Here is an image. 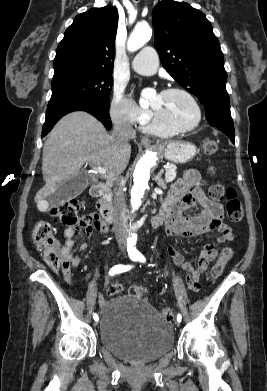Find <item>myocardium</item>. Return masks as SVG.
Returning a JSON list of instances; mask_svg holds the SVG:
<instances>
[{
    "mask_svg": "<svg viewBox=\"0 0 267 391\" xmlns=\"http://www.w3.org/2000/svg\"><path fill=\"white\" fill-rule=\"evenodd\" d=\"M172 93L182 94L190 100V102L193 104L195 111H196L195 122L189 127H177V126L171 125L167 122H164L158 116V114L155 112V110L152 111L153 122L157 126L164 128L166 130H169L173 133H185V132L193 131L196 128H198L202 122V119H203V112H202V108H201L198 100L196 99V97L190 91H188L184 88H181V87H168V88L162 90V92H161V94H172Z\"/></svg>",
    "mask_w": 267,
    "mask_h": 391,
    "instance_id": "obj_1",
    "label": "myocardium"
}]
</instances>
